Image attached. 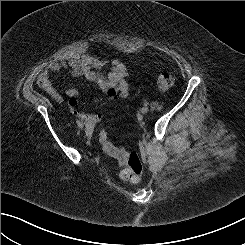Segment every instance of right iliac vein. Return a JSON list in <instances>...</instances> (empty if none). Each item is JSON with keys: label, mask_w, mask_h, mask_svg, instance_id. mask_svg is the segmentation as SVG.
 I'll use <instances>...</instances> for the list:
<instances>
[{"label": "right iliac vein", "mask_w": 245, "mask_h": 245, "mask_svg": "<svg viewBox=\"0 0 245 245\" xmlns=\"http://www.w3.org/2000/svg\"><path fill=\"white\" fill-rule=\"evenodd\" d=\"M84 127V124L83 123H81L80 125H79V128H83Z\"/></svg>", "instance_id": "obj_1"}]
</instances>
